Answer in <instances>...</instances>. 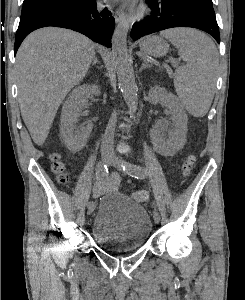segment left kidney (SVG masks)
I'll list each match as a JSON object with an SVG mask.
<instances>
[{"instance_id": "left-kidney-1", "label": "left kidney", "mask_w": 245, "mask_h": 300, "mask_svg": "<svg viewBox=\"0 0 245 300\" xmlns=\"http://www.w3.org/2000/svg\"><path fill=\"white\" fill-rule=\"evenodd\" d=\"M149 100L152 104L164 105L172 114L173 128L165 134L166 128L161 127L156 132L155 143L159 150L166 155H173L182 148L186 140L187 115L180 101L161 87H154L149 91Z\"/></svg>"}]
</instances>
